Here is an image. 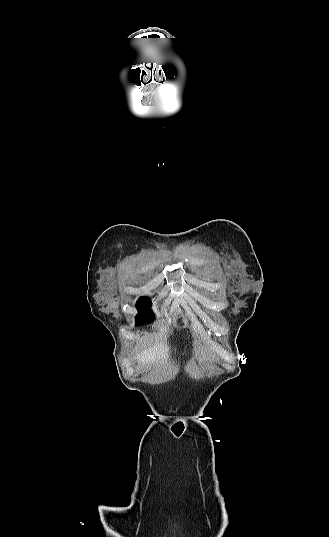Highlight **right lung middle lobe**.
<instances>
[{"label": "right lung middle lobe", "instance_id": "right-lung-middle-lobe-1", "mask_svg": "<svg viewBox=\"0 0 329 537\" xmlns=\"http://www.w3.org/2000/svg\"><path fill=\"white\" fill-rule=\"evenodd\" d=\"M152 302L148 297L142 296L136 302L138 314L135 317L136 325L150 323L155 319V315L151 309Z\"/></svg>", "mask_w": 329, "mask_h": 537}]
</instances>
